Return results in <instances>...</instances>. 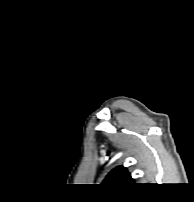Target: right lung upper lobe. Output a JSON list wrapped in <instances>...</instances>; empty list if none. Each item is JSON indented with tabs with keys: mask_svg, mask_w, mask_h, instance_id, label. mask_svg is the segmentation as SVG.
Wrapping results in <instances>:
<instances>
[{
	"mask_svg": "<svg viewBox=\"0 0 194 202\" xmlns=\"http://www.w3.org/2000/svg\"><path fill=\"white\" fill-rule=\"evenodd\" d=\"M103 184L107 185H131L134 184L133 179L127 169L120 166L113 169L104 179Z\"/></svg>",
	"mask_w": 194,
	"mask_h": 202,
	"instance_id": "1",
	"label": "right lung upper lobe"
}]
</instances>
